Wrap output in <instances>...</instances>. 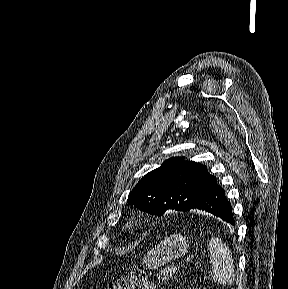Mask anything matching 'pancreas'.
<instances>
[{
	"mask_svg": "<svg viewBox=\"0 0 288 289\" xmlns=\"http://www.w3.org/2000/svg\"><path fill=\"white\" fill-rule=\"evenodd\" d=\"M171 274H172V269L165 268L161 271L159 278H161L162 281L167 282L169 280Z\"/></svg>",
	"mask_w": 288,
	"mask_h": 289,
	"instance_id": "obj_1",
	"label": "pancreas"
}]
</instances>
